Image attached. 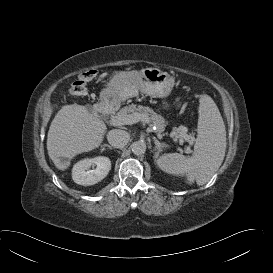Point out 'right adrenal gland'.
<instances>
[{"label":"right adrenal gland","instance_id":"right-adrenal-gland-1","mask_svg":"<svg viewBox=\"0 0 273 273\" xmlns=\"http://www.w3.org/2000/svg\"><path fill=\"white\" fill-rule=\"evenodd\" d=\"M105 147L109 148L110 150H112V149H113V147H111V146H110V145H108V144H104V145L102 146V149L104 150V149H105Z\"/></svg>","mask_w":273,"mask_h":273}]
</instances>
